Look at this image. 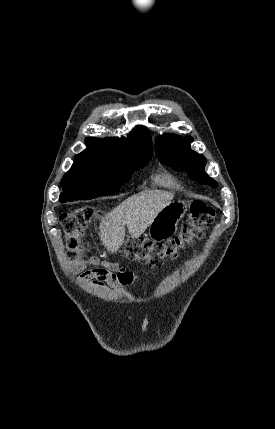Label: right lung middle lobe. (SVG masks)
Returning a JSON list of instances; mask_svg holds the SVG:
<instances>
[{"instance_id": "obj_1", "label": "right lung middle lobe", "mask_w": 275, "mask_h": 429, "mask_svg": "<svg viewBox=\"0 0 275 429\" xmlns=\"http://www.w3.org/2000/svg\"><path fill=\"white\" fill-rule=\"evenodd\" d=\"M151 156L125 155L108 162L74 163L63 176L59 201L86 200L117 192Z\"/></svg>"}]
</instances>
